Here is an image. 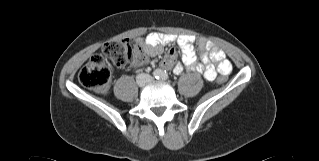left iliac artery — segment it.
I'll list each match as a JSON object with an SVG mask.
<instances>
[{"label":"left iliac artery","mask_w":319,"mask_h":161,"mask_svg":"<svg viewBox=\"0 0 319 161\" xmlns=\"http://www.w3.org/2000/svg\"><path fill=\"white\" fill-rule=\"evenodd\" d=\"M160 78L162 80H167L169 78L168 73L166 71H161V76Z\"/></svg>","instance_id":"44dca946"}]
</instances>
